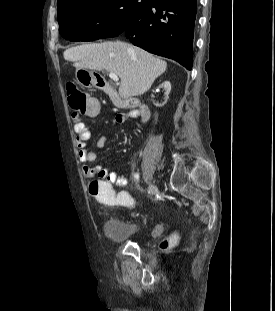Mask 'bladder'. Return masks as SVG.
<instances>
[{"label":"bladder","instance_id":"obj_1","mask_svg":"<svg viewBox=\"0 0 275 311\" xmlns=\"http://www.w3.org/2000/svg\"><path fill=\"white\" fill-rule=\"evenodd\" d=\"M104 231L108 238L114 241H124L139 233V226L117 217H109L104 223Z\"/></svg>","mask_w":275,"mask_h":311}]
</instances>
